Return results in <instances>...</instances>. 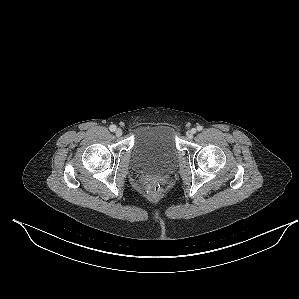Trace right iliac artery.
<instances>
[{
  "mask_svg": "<svg viewBox=\"0 0 299 299\" xmlns=\"http://www.w3.org/2000/svg\"><path fill=\"white\" fill-rule=\"evenodd\" d=\"M109 129L110 131L114 132L116 130V125H110Z\"/></svg>",
  "mask_w": 299,
  "mask_h": 299,
  "instance_id": "1",
  "label": "right iliac artery"
}]
</instances>
